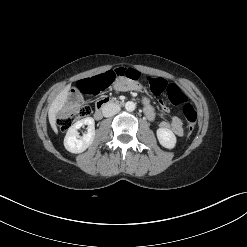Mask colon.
Returning a JSON list of instances; mask_svg holds the SVG:
<instances>
[{"mask_svg":"<svg viewBox=\"0 0 247 247\" xmlns=\"http://www.w3.org/2000/svg\"><path fill=\"white\" fill-rule=\"evenodd\" d=\"M139 76V73L134 69H108L94 75V77L85 76L78 80L75 85V92L78 97L89 99L97 94L99 88L115 83L117 78L126 77L137 81ZM148 84L154 95L166 93L170 103L183 105L182 113L187 122V133L191 134L197 121V112L191 104L187 103V97L184 92L175 84H167L166 81L160 78H148ZM90 112L91 108L87 104L79 105L75 99L67 112L57 121L60 130L67 131L77 120L87 117Z\"/></svg>","mask_w":247,"mask_h":247,"instance_id":"obj_1","label":"colon"}]
</instances>
